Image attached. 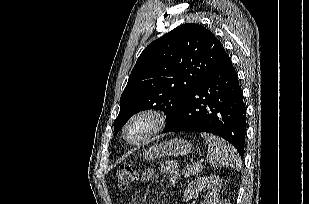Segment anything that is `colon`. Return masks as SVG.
Returning <instances> with one entry per match:
<instances>
[{
	"instance_id": "obj_1",
	"label": "colon",
	"mask_w": 309,
	"mask_h": 204,
	"mask_svg": "<svg viewBox=\"0 0 309 204\" xmlns=\"http://www.w3.org/2000/svg\"><path fill=\"white\" fill-rule=\"evenodd\" d=\"M137 171L131 164L121 166L117 173V186L120 190L127 189L136 179Z\"/></svg>"
}]
</instances>
